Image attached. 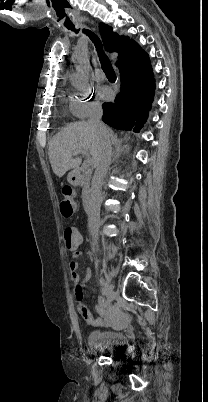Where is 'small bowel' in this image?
<instances>
[{"mask_svg": "<svg viewBox=\"0 0 208 402\" xmlns=\"http://www.w3.org/2000/svg\"><path fill=\"white\" fill-rule=\"evenodd\" d=\"M79 242L80 243H85L86 242V237L81 235L79 237ZM71 262V261H70ZM78 267L77 262H71L70 263V268H71V279L75 285L74 287V295L75 298L78 299H83L84 298V285L83 281L76 271ZM91 277V272L88 271L86 273L85 279L88 280ZM96 311H97V316H89L87 320L92 323L91 327L94 330H125L129 327V324L125 321H114L118 317L123 318L126 315L125 310L120 309L117 311V308L115 307H110L107 304V301L105 299H101L99 303L96 306ZM132 315H135V312H132Z\"/></svg>", "mask_w": 208, "mask_h": 402, "instance_id": "1", "label": "small bowel"}]
</instances>
